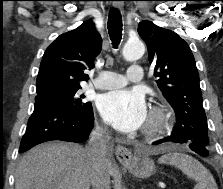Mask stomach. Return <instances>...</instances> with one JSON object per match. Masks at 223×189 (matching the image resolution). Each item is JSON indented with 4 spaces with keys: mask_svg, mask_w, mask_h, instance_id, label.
<instances>
[{
    "mask_svg": "<svg viewBox=\"0 0 223 189\" xmlns=\"http://www.w3.org/2000/svg\"><path fill=\"white\" fill-rule=\"evenodd\" d=\"M124 166L138 178H148L155 172L154 162L141 156H136L132 163H124Z\"/></svg>",
    "mask_w": 223,
    "mask_h": 189,
    "instance_id": "stomach-1",
    "label": "stomach"
}]
</instances>
